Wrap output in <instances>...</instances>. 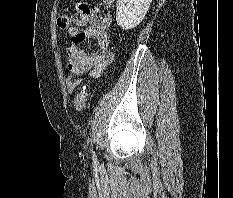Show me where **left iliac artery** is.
Segmentation results:
<instances>
[{"mask_svg": "<svg viewBox=\"0 0 233 198\" xmlns=\"http://www.w3.org/2000/svg\"><path fill=\"white\" fill-rule=\"evenodd\" d=\"M92 155H93V160H94V162L96 163V155H95V152L94 151H92Z\"/></svg>", "mask_w": 233, "mask_h": 198, "instance_id": "44dca946", "label": "left iliac artery"}]
</instances>
